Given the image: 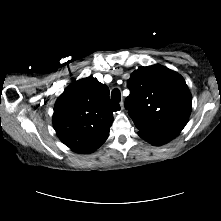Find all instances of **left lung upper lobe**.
I'll return each instance as SVG.
<instances>
[{
    "label": "left lung upper lobe",
    "mask_w": 221,
    "mask_h": 221,
    "mask_svg": "<svg viewBox=\"0 0 221 221\" xmlns=\"http://www.w3.org/2000/svg\"><path fill=\"white\" fill-rule=\"evenodd\" d=\"M127 87L131 92L125 107L139 131L171 140L185 127L192 98L178 73L160 65L141 67Z\"/></svg>",
    "instance_id": "left-lung-upper-lobe-1"
}]
</instances>
